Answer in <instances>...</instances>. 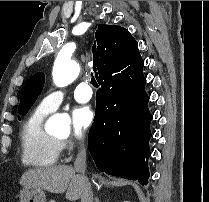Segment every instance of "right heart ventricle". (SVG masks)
<instances>
[{
	"mask_svg": "<svg viewBox=\"0 0 209 202\" xmlns=\"http://www.w3.org/2000/svg\"><path fill=\"white\" fill-rule=\"evenodd\" d=\"M49 111L40 106L25 120L21 128V160L25 165L46 168L57 163L61 146L59 141L44 129Z\"/></svg>",
	"mask_w": 209,
	"mask_h": 202,
	"instance_id": "obj_1",
	"label": "right heart ventricle"
}]
</instances>
